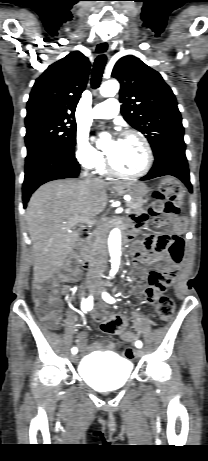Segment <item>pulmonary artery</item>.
Segmentation results:
<instances>
[{
  "label": "pulmonary artery",
  "instance_id": "1",
  "mask_svg": "<svg viewBox=\"0 0 208 461\" xmlns=\"http://www.w3.org/2000/svg\"><path fill=\"white\" fill-rule=\"evenodd\" d=\"M118 112H119L118 100L114 98H110L96 105L91 111V116L92 118H95V119H110L116 116Z\"/></svg>",
  "mask_w": 208,
  "mask_h": 461
}]
</instances>
